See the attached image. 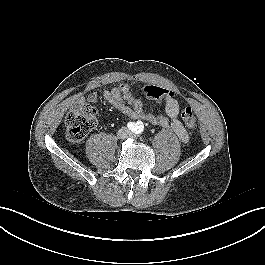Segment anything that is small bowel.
<instances>
[{
    "mask_svg": "<svg viewBox=\"0 0 265 265\" xmlns=\"http://www.w3.org/2000/svg\"><path fill=\"white\" fill-rule=\"evenodd\" d=\"M102 96L104 100L127 117L146 121L163 128L170 127L182 142L189 140V134L178 117L179 103L172 91L167 89V94L163 98L166 115H156L145 111L143 102L133 96L130 87L126 84L104 90ZM76 101L78 103H84L85 101L96 103L98 95L97 93H91L87 98L78 97Z\"/></svg>",
    "mask_w": 265,
    "mask_h": 265,
    "instance_id": "obj_1",
    "label": "small bowel"
}]
</instances>
